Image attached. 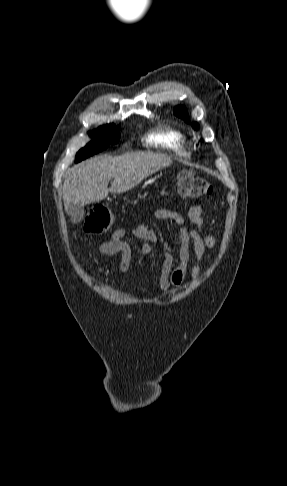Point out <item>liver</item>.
<instances>
[{
  "mask_svg": "<svg viewBox=\"0 0 287 486\" xmlns=\"http://www.w3.org/2000/svg\"><path fill=\"white\" fill-rule=\"evenodd\" d=\"M171 164L169 157L152 152L100 156L87 160L66 173L63 184L65 211L68 213L72 203L84 206L105 199L109 192H126ZM112 178L114 181L108 189Z\"/></svg>",
  "mask_w": 287,
  "mask_h": 486,
  "instance_id": "6515ba94",
  "label": "liver"
}]
</instances>
